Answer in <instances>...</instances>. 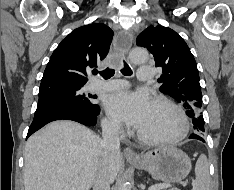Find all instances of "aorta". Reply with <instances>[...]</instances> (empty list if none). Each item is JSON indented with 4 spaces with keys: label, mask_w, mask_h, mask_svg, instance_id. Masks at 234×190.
Returning <instances> with one entry per match:
<instances>
[{
    "label": "aorta",
    "mask_w": 234,
    "mask_h": 190,
    "mask_svg": "<svg viewBox=\"0 0 234 190\" xmlns=\"http://www.w3.org/2000/svg\"><path fill=\"white\" fill-rule=\"evenodd\" d=\"M148 58L147 50L143 48H134L130 52V59L133 63H144ZM120 190H130L128 183H123Z\"/></svg>",
    "instance_id": "762f6f07"
}]
</instances>
